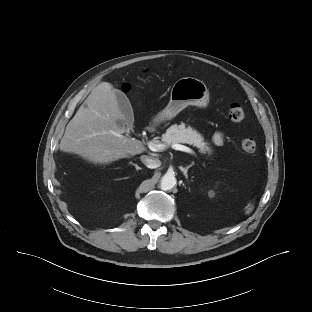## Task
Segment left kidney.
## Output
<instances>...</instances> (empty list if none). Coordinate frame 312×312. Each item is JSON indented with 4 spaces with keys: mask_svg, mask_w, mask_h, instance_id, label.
<instances>
[{
    "mask_svg": "<svg viewBox=\"0 0 312 312\" xmlns=\"http://www.w3.org/2000/svg\"><path fill=\"white\" fill-rule=\"evenodd\" d=\"M209 194H210V195H214V192L211 190V191L209 192Z\"/></svg>",
    "mask_w": 312,
    "mask_h": 312,
    "instance_id": "obj_1",
    "label": "left kidney"
}]
</instances>
